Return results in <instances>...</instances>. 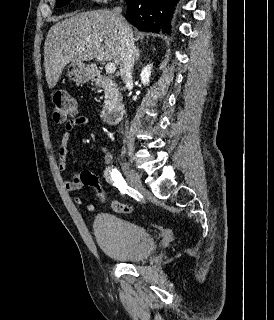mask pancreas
<instances>
[{
  "instance_id": "1",
  "label": "pancreas",
  "mask_w": 274,
  "mask_h": 320,
  "mask_svg": "<svg viewBox=\"0 0 274 320\" xmlns=\"http://www.w3.org/2000/svg\"><path fill=\"white\" fill-rule=\"evenodd\" d=\"M107 80L108 84L103 88V92L105 94L104 110H107V108H111V106H115V104L121 102V94L118 92V88H116L115 84H109V76H107Z\"/></svg>"
}]
</instances>
